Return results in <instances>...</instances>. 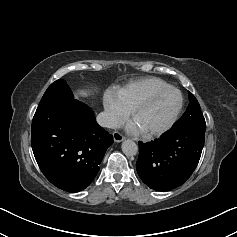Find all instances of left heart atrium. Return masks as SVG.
I'll return each instance as SVG.
<instances>
[{
	"instance_id": "obj_1",
	"label": "left heart atrium",
	"mask_w": 237,
	"mask_h": 237,
	"mask_svg": "<svg viewBox=\"0 0 237 237\" xmlns=\"http://www.w3.org/2000/svg\"><path fill=\"white\" fill-rule=\"evenodd\" d=\"M130 130L133 131V132H135V131L138 130V128H137L134 124H132V125L130 126Z\"/></svg>"
}]
</instances>
